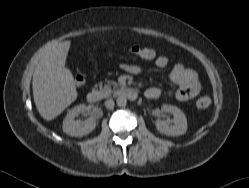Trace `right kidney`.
<instances>
[{
	"label": "right kidney",
	"mask_w": 249,
	"mask_h": 188,
	"mask_svg": "<svg viewBox=\"0 0 249 188\" xmlns=\"http://www.w3.org/2000/svg\"><path fill=\"white\" fill-rule=\"evenodd\" d=\"M86 106L78 105L71 109L63 121V131L74 137H82L92 132L96 127V121L93 117L87 118L85 121L75 120L79 114L85 113Z\"/></svg>",
	"instance_id": "1"
}]
</instances>
